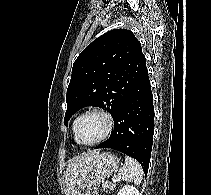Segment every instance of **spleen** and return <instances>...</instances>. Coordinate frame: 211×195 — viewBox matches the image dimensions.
Instances as JSON below:
<instances>
[{
	"instance_id": "1",
	"label": "spleen",
	"mask_w": 211,
	"mask_h": 195,
	"mask_svg": "<svg viewBox=\"0 0 211 195\" xmlns=\"http://www.w3.org/2000/svg\"><path fill=\"white\" fill-rule=\"evenodd\" d=\"M119 177L127 182H133L138 185L142 181L143 170L141 165L129 156H125V164L119 170Z\"/></svg>"
}]
</instances>
